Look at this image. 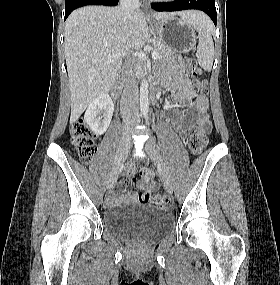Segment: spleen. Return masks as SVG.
Segmentation results:
<instances>
[{
    "label": "spleen",
    "mask_w": 280,
    "mask_h": 285,
    "mask_svg": "<svg viewBox=\"0 0 280 285\" xmlns=\"http://www.w3.org/2000/svg\"><path fill=\"white\" fill-rule=\"evenodd\" d=\"M196 29L198 32L199 43L197 46V60L199 65L206 71L212 69L214 60V43L212 39V33L214 26L210 19L200 13L195 18H183Z\"/></svg>",
    "instance_id": "obj_1"
}]
</instances>
